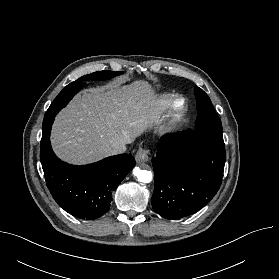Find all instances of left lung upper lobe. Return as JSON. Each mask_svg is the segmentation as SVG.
Wrapping results in <instances>:
<instances>
[{"instance_id": "obj_1", "label": "left lung upper lobe", "mask_w": 279, "mask_h": 279, "mask_svg": "<svg viewBox=\"0 0 279 279\" xmlns=\"http://www.w3.org/2000/svg\"><path fill=\"white\" fill-rule=\"evenodd\" d=\"M195 95L197 99L198 117L194 131L221 146H225L223 141L222 124L212 106L210 98L198 87L195 88Z\"/></svg>"}]
</instances>
